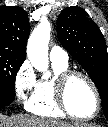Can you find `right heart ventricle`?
Masks as SVG:
<instances>
[{
  "instance_id": "e07e8e85",
  "label": "right heart ventricle",
  "mask_w": 108,
  "mask_h": 127,
  "mask_svg": "<svg viewBox=\"0 0 108 127\" xmlns=\"http://www.w3.org/2000/svg\"><path fill=\"white\" fill-rule=\"evenodd\" d=\"M54 76L38 82L36 91L27 103L29 112L42 116L63 118L66 114L59 108L56 101L55 80L58 75L68 70V63L52 62Z\"/></svg>"
}]
</instances>
